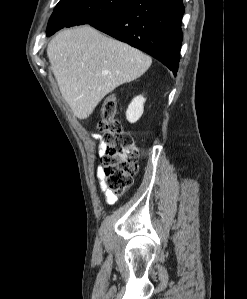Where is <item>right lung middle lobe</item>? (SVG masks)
<instances>
[{"mask_svg":"<svg viewBox=\"0 0 247 299\" xmlns=\"http://www.w3.org/2000/svg\"><path fill=\"white\" fill-rule=\"evenodd\" d=\"M131 0H60L48 23L47 34L51 35L63 27L90 24L104 19Z\"/></svg>","mask_w":247,"mask_h":299,"instance_id":"dd1d6c3e","label":"right lung middle lobe"}]
</instances>
